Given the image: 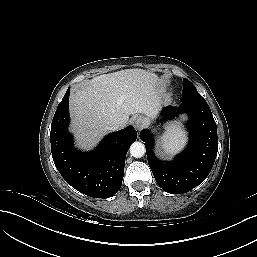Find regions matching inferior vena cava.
<instances>
[{
	"instance_id": "obj_1",
	"label": "inferior vena cava",
	"mask_w": 257,
	"mask_h": 257,
	"mask_svg": "<svg viewBox=\"0 0 257 257\" xmlns=\"http://www.w3.org/2000/svg\"><path fill=\"white\" fill-rule=\"evenodd\" d=\"M124 126H125V123H123V122H118V123H113V124L109 125V126L107 127V129H108L109 131H116V130H118V129H120V128H123Z\"/></svg>"
}]
</instances>
